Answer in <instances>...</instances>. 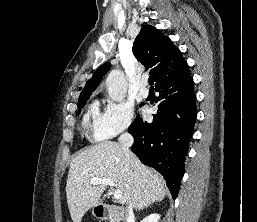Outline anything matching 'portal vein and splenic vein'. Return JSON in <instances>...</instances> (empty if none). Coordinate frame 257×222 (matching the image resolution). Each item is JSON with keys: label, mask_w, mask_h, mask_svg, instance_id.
I'll return each mask as SVG.
<instances>
[{"label": "portal vein and splenic vein", "mask_w": 257, "mask_h": 222, "mask_svg": "<svg viewBox=\"0 0 257 222\" xmlns=\"http://www.w3.org/2000/svg\"><path fill=\"white\" fill-rule=\"evenodd\" d=\"M90 184L92 185H98V184H105L111 187H114V181L111 179H107V178H100V177H94L90 180ZM114 198L119 200L122 198V192L118 189H116L113 193Z\"/></svg>", "instance_id": "portal-vein-and-splenic-vein-1"}]
</instances>
